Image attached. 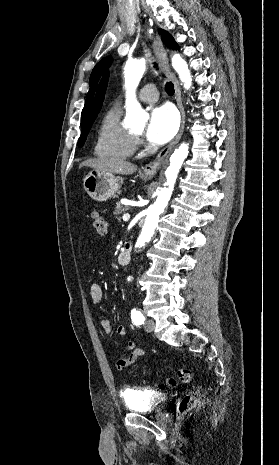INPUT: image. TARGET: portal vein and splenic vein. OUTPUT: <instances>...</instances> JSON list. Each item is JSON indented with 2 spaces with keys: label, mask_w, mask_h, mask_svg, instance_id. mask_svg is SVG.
Wrapping results in <instances>:
<instances>
[{
  "label": "portal vein and splenic vein",
  "mask_w": 279,
  "mask_h": 465,
  "mask_svg": "<svg viewBox=\"0 0 279 465\" xmlns=\"http://www.w3.org/2000/svg\"><path fill=\"white\" fill-rule=\"evenodd\" d=\"M123 221H128L130 219V214H124L123 217H122Z\"/></svg>",
  "instance_id": "obj_1"
}]
</instances>
